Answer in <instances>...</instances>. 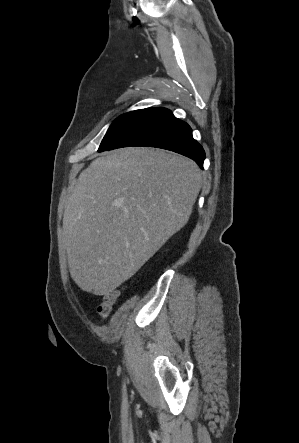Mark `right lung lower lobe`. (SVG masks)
I'll list each match as a JSON object with an SVG mask.
<instances>
[{
	"label": "right lung lower lobe",
	"instance_id": "98d812e1",
	"mask_svg": "<svg viewBox=\"0 0 299 443\" xmlns=\"http://www.w3.org/2000/svg\"><path fill=\"white\" fill-rule=\"evenodd\" d=\"M157 147L174 151L195 160L202 168L205 152L192 137L190 126L174 117L166 108H147L109 147Z\"/></svg>",
	"mask_w": 299,
	"mask_h": 443
}]
</instances>
